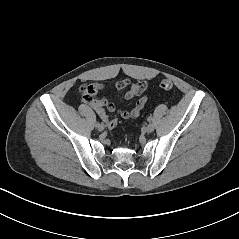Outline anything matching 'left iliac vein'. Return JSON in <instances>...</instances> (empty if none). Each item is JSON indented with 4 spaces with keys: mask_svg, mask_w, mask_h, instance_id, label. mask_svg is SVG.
I'll return each mask as SVG.
<instances>
[{
    "mask_svg": "<svg viewBox=\"0 0 239 239\" xmlns=\"http://www.w3.org/2000/svg\"><path fill=\"white\" fill-rule=\"evenodd\" d=\"M154 125L152 123L148 124L147 127H146V131L148 133H152L154 131Z\"/></svg>",
    "mask_w": 239,
    "mask_h": 239,
    "instance_id": "obj_1",
    "label": "left iliac vein"
}]
</instances>
